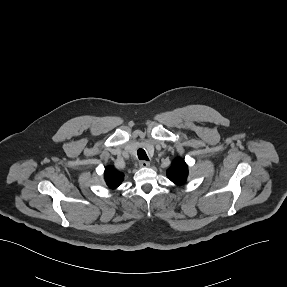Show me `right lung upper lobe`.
<instances>
[{"label": "right lung upper lobe", "instance_id": "obj_1", "mask_svg": "<svg viewBox=\"0 0 287 287\" xmlns=\"http://www.w3.org/2000/svg\"><path fill=\"white\" fill-rule=\"evenodd\" d=\"M104 177L107 185L112 189H116L122 183L124 174L108 166L105 169Z\"/></svg>", "mask_w": 287, "mask_h": 287}]
</instances>
